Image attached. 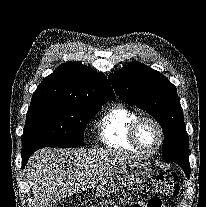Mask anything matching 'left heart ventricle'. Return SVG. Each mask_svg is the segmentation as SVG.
Returning <instances> with one entry per match:
<instances>
[{
	"label": "left heart ventricle",
	"instance_id": "left-heart-ventricle-1",
	"mask_svg": "<svg viewBox=\"0 0 206 207\" xmlns=\"http://www.w3.org/2000/svg\"><path fill=\"white\" fill-rule=\"evenodd\" d=\"M160 135L157 127L150 121H144L138 128V140L147 150L154 149L159 143Z\"/></svg>",
	"mask_w": 206,
	"mask_h": 207
}]
</instances>
